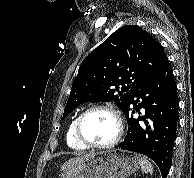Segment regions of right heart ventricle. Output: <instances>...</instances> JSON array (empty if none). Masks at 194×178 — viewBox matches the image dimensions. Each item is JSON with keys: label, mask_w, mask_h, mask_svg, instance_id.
<instances>
[{"label": "right heart ventricle", "mask_w": 194, "mask_h": 178, "mask_svg": "<svg viewBox=\"0 0 194 178\" xmlns=\"http://www.w3.org/2000/svg\"><path fill=\"white\" fill-rule=\"evenodd\" d=\"M77 117H75L69 124L67 132H66V143L69 148L76 150V151H81L85 150L87 147L82 145L75 137V122H76Z\"/></svg>", "instance_id": "obj_1"}]
</instances>
